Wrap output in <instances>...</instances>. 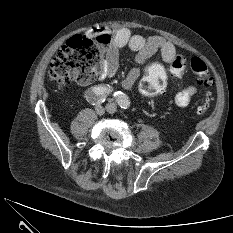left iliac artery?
I'll return each instance as SVG.
<instances>
[{"instance_id": "obj_1", "label": "left iliac artery", "mask_w": 233, "mask_h": 233, "mask_svg": "<svg viewBox=\"0 0 233 233\" xmlns=\"http://www.w3.org/2000/svg\"><path fill=\"white\" fill-rule=\"evenodd\" d=\"M114 96L116 98V102L120 105L121 108L127 109L130 106V101L124 93L117 91L114 93Z\"/></svg>"}]
</instances>
